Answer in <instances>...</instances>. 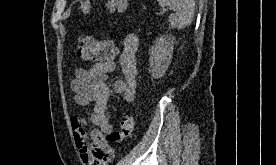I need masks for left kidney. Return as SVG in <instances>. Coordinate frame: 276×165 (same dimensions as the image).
Here are the masks:
<instances>
[{
  "instance_id": "1",
  "label": "left kidney",
  "mask_w": 276,
  "mask_h": 165,
  "mask_svg": "<svg viewBox=\"0 0 276 165\" xmlns=\"http://www.w3.org/2000/svg\"><path fill=\"white\" fill-rule=\"evenodd\" d=\"M174 38L161 35L149 49L151 75L159 79L164 76L172 60Z\"/></svg>"
}]
</instances>
